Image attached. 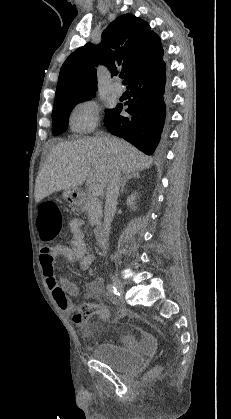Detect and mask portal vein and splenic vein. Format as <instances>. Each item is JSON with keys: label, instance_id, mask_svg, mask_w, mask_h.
<instances>
[{"label": "portal vein and splenic vein", "instance_id": "obj_1", "mask_svg": "<svg viewBox=\"0 0 231 419\" xmlns=\"http://www.w3.org/2000/svg\"><path fill=\"white\" fill-rule=\"evenodd\" d=\"M92 193L94 196H100L103 193V187L100 184H93Z\"/></svg>", "mask_w": 231, "mask_h": 419}]
</instances>
